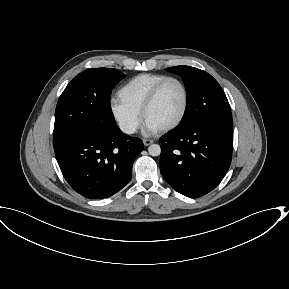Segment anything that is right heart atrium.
I'll return each mask as SVG.
<instances>
[{
    "instance_id": "d8ad5b80",
    "label": "right heart atrium",
    "mask_w": 289,
    "mask_h": 289,
    "mask_svg": "<svg viewBox=\"0 0 289 289\" xmlns=\"http://www.w3.org/2000/svg\"><path fill=\"white\" fill-rule=\"evenodd\" d=\"M110 111L121 131L128 135L136 132L141 123L140 113L128 108L118 100L111 101Z\"/></svg>"
}]
</instances>
